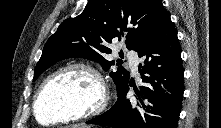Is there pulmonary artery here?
Instances as JSON below:
<instances>
[{
	"mask_svg": "<svg viewBox=\"0 0 221 128\" xmlns=\"http://www.w3.org/2000/svg\"><path fill=\"white\" fill-rule=\"evenodd\" d=\"M128 62L134 72L138 71L139 58L135 53L127 54Z\"/></svg>",
	"mask_w": 221,
	"mask_h": 128,
	"instance_id": "e3ab8cb5",
	"label": "pulmonary artery"
}]
</instances>
